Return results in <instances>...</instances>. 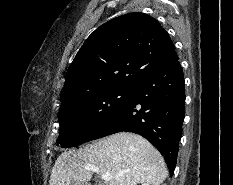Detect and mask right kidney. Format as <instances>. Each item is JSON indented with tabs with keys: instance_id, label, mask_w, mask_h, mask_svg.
I'll return each mask as SVG.
<instances>
[{
	"instance_id": "obj_1",
	"label": "right kidney",
	"mask_w": 233,
	"mask_h": 185,
	"mask_svg": "<svg viewBox=\"0 0 233 185\" xmlns=\"http://www.w3.org/2000/svg\"><path fill=\"white\" fill-rule=\"evenodd\" d=\"M142 185H149L148 183H144V184H142Z\"/></svg>"
}]
</instances>
